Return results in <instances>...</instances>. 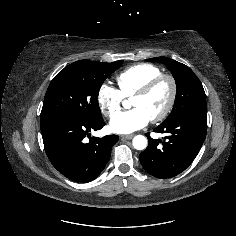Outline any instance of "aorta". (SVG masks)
Instances as JSON below:
<instances>
[{
	"instance_id": "1",
	"label": "aorta",
	"mask_w": 236,
	"mask_h": 236,
	"mask_svg": "<svg viewBox=\"0 0 236 236\" xmlns=\"http://www.w3.org/2000/svg\"><path fill=\"white\" fill-rule=\"evenodd\" d=\"M132 143L136 150H144L147 147V139L143 135L135 136Z\"/></svg>"
}]
</instances>
